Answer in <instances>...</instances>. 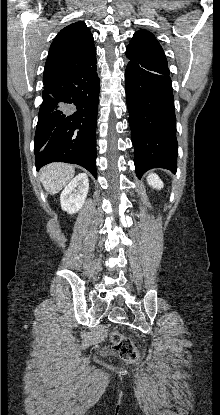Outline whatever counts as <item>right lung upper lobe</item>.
I'll list each match as a JSON object with an SVG mask.
<instances>
[{
  "label": "right lung upper lobe",
  "mask_w": 220,
  "mask_h": 415,
  "mask_svg": "<svg viewBox=\"0 0 220 415\" xmlns=\"http://www.w3.org/2000/svg\"><path fill=\"white\" fill-rule=\"evenodd\" d=\"M93 35L83 21L63 28L54 38L46 60L43 84L96 63Z\"/></svg>",
  "instance_id": "right-lung-upper-lobe-1"
}]
</instances>
